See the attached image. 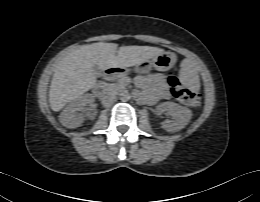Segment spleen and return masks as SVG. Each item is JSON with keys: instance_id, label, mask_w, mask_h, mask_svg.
<instances>
[{"instance_id": "obj_1", "label": "spleen", "mask_w": 260, "mask_h": 202, "mask_svg": "<svg viewBox=\"0 0 260 202\" xmlns=\"http://www.w3.org/2000/svg\"><path fill=\"white\" fill-rule=\"evenodd\" d=\"M181 76L187 84L196 81V74L190 68H184L181 72Z\"/></svg>"}]
</instances>
